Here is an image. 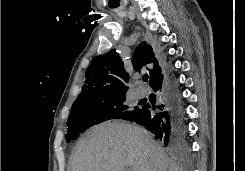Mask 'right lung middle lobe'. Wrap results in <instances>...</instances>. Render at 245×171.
<instances>
[{"instance_id": "obj_1", "label": "right lung middle lobe", "mask_w": 245, "mask_h": 171, "mask_svg": "<svg viewBox=\"0 0 245 171\" xmlns=\"http://www.w3.org/2000/svg\"><path fill=\"white\" fill-rule=\"evenodd\" d=\"M126 94H118L103 98L75 101L67 121L68 132L65 135L70 142L80 133L93 125L111 119L131 121L137 116L140 108H131L125 104Z\"/></svg>"}]
</instances>
